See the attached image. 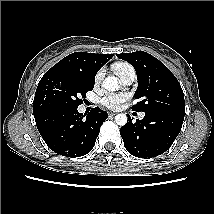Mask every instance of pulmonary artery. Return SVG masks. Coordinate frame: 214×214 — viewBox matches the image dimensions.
Masks as SVG:
<instances>
[{
	"mask_svg": "<svg viewBox=\"0 0 214 214\" xmlns=\"http://www.w3.org/2000/svg\"><path fill=\"white\" fill-rule=\"evenodd\" d=\"M118 77L123 85H130L136 78V72L133 67H129V68L123 69L119 73ZM139 117L143 118L144 113H141Z\"/></svg>",
	"mask_w": 214,
	"mask_h": 214,
	"instance_id": "obj_1",
	"label": "pulmonary artery"
}]
</instances>
